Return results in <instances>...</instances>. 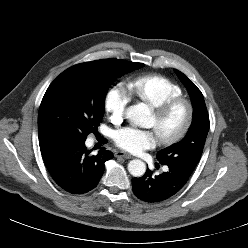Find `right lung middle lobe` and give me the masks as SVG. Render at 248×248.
I'll return each instance as SVG.
<instances>
[{"mask_svg": "<svg viewBox=\"0 0 248 248\" xmlns=\"http://www.w3.org/2000/svg\"><path fill=\"white\" fill-rule=\"evenodd\" d=\"M142 66V63L103 59L65 70L51 83L42 99L39 136L84 142L88 134L97 132L109 86L117 77Z\"/></svg>", "mask_w": 248, "mask_h": 248, "instance_id": "right-lung-middle-lobe-1", "label": "right lung middle lobe"}]
</instances>
